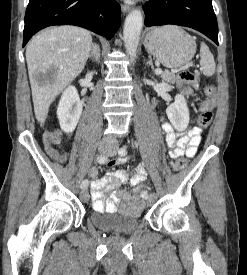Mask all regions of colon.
<instances>
[{
	"label": "colon",
	"mask_w": 247,
	"mask_h": 275,
	"mask_svg": "<svg viewBox=\"0 0 247 275\" xmlns=\"http://www.w3.org/2000/svg\"><path fill=\"white\" fill-rule=\"evenodd\" d=\"M181 87L186 93H191L192 89H198L200 85V77L196 72L183 69L178 74ZM206 95L200 106V113L198 117V125L201 128H207L210 126L213 118V111L215 108V90L212 86H206L203 89ZM61 135L57 131L48 132L45 135V142L49 145L57 144L60 141ZM187 165L186 158H179L172 163L174 171L179 172L183 170ZM146 192L144 186L133 187L132 195L138 199H141L143 193Z\"/></svg>",
	"instance_id": "obj_1"
}]
</instances>
